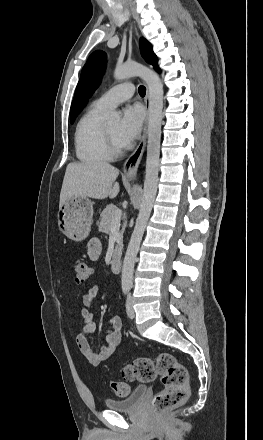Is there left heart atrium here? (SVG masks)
Returning a JSON list of instances; mask_svg holds the SVG:
<instances>
[{
	"mask_svg": "<svg viewBox=\"0 0 263 440\" xmlns=\"http://www.w3.org/2000/svg\"><path fill=\"white\" fill-rule=\"evenodd\" d=\"M144 118V111L140 106H130L123 111L117 130L122 146L130 145L139 136Z\"/></svg>",
	"mask_w": 263,
	"mask_h": 440,
	"instance_id": "obj_1",
	"label": "left heart atrium"
}]
</instances>
